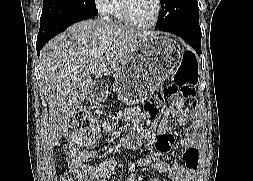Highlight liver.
Instances as JSON below:
<instances>
[{
	"label": "liver",
	"instance_id": "liver-1",
	"mask_svg": "<svg viewBox=\"0 0 253 181\" xmlns=\"http://www.w3.org/2000/svg\"><path fill=\"white\" fill-rule=\"evenodd\" d=\"M153 36L138 28L89 19L70 26L43 47L39 70L52 146L58 144L69 117L93 87L91 75L116 74L136 47ZM107 53H114V59L107 62Z\"/></svg>",
	"mask_w": 253,
	"mask_h": 181
}]
</instances>
